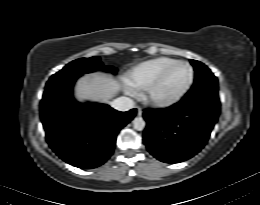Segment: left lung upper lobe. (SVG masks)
<instances>
[{"instance_id":"1","label":"left lung upper lobe","mask_w":260,"mask_h":205,"mask_svg":"<svg viewBox=\"0 0 260 205\" xmlns=\"http://www.w3.org/2000/svg\"><path fill=\"white\" fill-rule=\"evenodd\" d=\"M195 69V81L186 99H205L219 105L217 78L203 63L190 60Z\"/></svg>"}]
</instances>
